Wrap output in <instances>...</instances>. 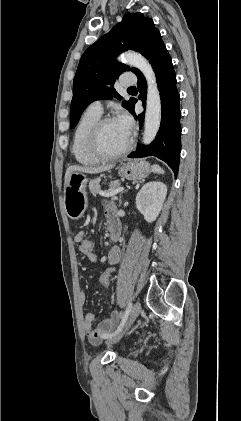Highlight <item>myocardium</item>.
<instances>
[{"instance_id":"myocardium-1","label":"myocardium","mask_w":241,"mask_h":421,"mask_svg":"<svg viewBox=\"0 0 241 421\" xmlns=\"http://www.w3.org/2000/svg\"><path fill=\"white\" fill-rule=\"evenodd\" d=\"M113 121H116L113 117H109V116L100 117L94 123L88 135L87 146L90 153L94 157L102 161H110V160L121 158L124 155H126L132 148V139L129 137V140L126 146L118 152L107 153L102 149L101 144H100V137H101L102 129L104 128L106 124Z\"/></svg>"}]
</instances>
